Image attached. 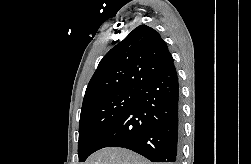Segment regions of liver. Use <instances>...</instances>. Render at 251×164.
I'll list each match as a JSON object with an SVG mask.
<instances>
[{
  "instance_id": "liver-1",
  "label": "liver",
  "mask_w": 251,
  "mask_h": 164,
  "mask_svg": "<svg viewBox=\"0 0 251 164\" xmlns=\"http://www.w3.org/2000/svg\"><path fill=\"white\" fill-rule=\"evenodd\" d=\"M85 164H151L144 157L118 147L101 149L92 154Z\"/></svg>"
}]
</instances>
